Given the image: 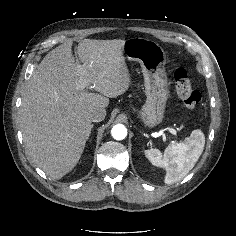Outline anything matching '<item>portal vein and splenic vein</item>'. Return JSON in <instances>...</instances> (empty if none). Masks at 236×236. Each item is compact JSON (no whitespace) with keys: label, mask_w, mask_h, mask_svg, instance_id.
<instances>
[{"label":"portal vein and splenic vein","mask_w":236,"mask_h":236,"mask_svg":"<svg viewBox=\"0 0 236 236\" xmlns=\"http://www.w3.org/2000/svg\"><path fill=\"white\" fill-rule=\"evenodd\" d=\"M83 69H84V65H79V66H78V70H79V71H83ZM167 131H169V132H170L172 135H174L176 138H179V136H178L176 130H174V129H172V128H167Z\"/></svg>","instance_id":"1"}]
</instances>
